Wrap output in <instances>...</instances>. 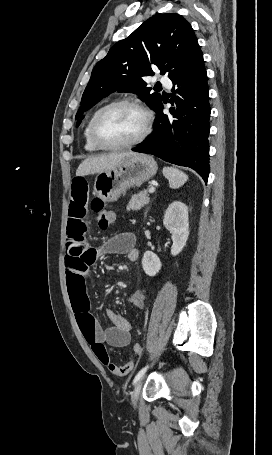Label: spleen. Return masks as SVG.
<instances>
[{"instance_id":"3e777b00","label":"spleen","mask_w":272,"mask_h":455,"mask_svg":"<svg viewBox=\"0 0 272 455\" xmlns=\"http://www.w3.org/2000/svg\"><path fill=\"white\" fill-rule=\"evenodd\" d=\"M163 174L168 179L169 186L172 189L181 187L188 180V176L183 171L174 167H164Z\"/></svg>"}]
</instances>
